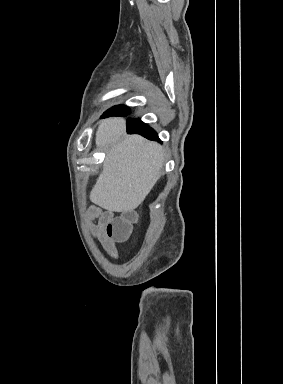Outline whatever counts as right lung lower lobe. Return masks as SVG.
I'll list each match as a JSON object with an SVG mask.
<instances>
[{"label":"right lung lower lobe","mask_w":283,"mask_h":384,"mask_svg":"<svg viewBox=\"0 0 283 384\" xmlns=\"http://www.w3.org/2000/svg\"><path fill=\"white\" fill-rule=\"evenodd\" d=\"M129 113L127 107H113L107 110L103 115L104 117L110 116H125ZM127 132L129 134H140L150 140L159 141L157 133L149 127L147 124L143 123L140 119H128L127 120Z\"/></svg>","instance_id":"obj_1"}]
</instances>
